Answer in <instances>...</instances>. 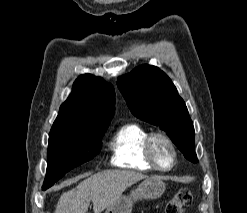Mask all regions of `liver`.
Returning a JSON list of instances; mask_svg holds the SVG:
<instances>
[{
    "label": "liver",
    "instance_id": "1",
    "mask_svg": "<svg viewBox=\"0 0 247 213\" xmlns=\"http://www.w3.org/2000/svg\"><path fill=\"white\" fill-rule=\"evenodd\" d=\"M145 178L144 174L127 170L99 172L64 192L54 213H87L90 201L94 213H101L115 203L128 187Z\"/></svg>",
    "mask_w": 247,
    "mask_h": 213
}]
</instances>
